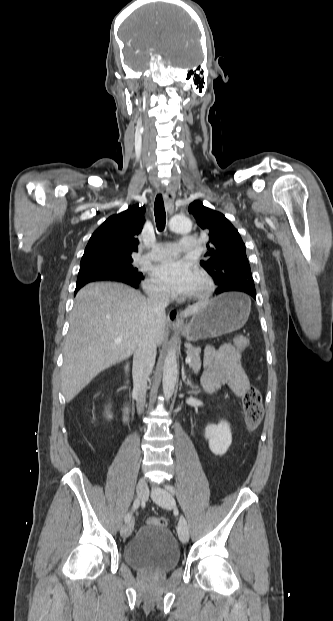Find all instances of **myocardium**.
Instances as JSON below:
<instances>
[{
  "mask_svg": "<svg viewBox=\"0 0 333 621\" xmlns=\"http://www.w3.org/2000/svg\"><path fill=\"white\" fill-rule=\"evenodd\" d=\"M198 277L202 281V288L198 292L186 296L187 300H191V301L205 300L209 298L215 290L214 281L212 280L211 276L208 273H206L203 270H199Z\"/></svg>",
  "mask_w": 333,
  "mask_h": 621,
  "instance_id": "myocardium-1",
  "label": "myocardium"
}]
</instances>
